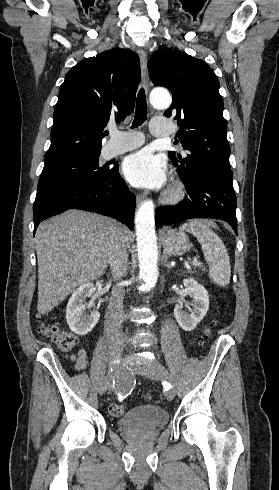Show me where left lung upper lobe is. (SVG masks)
Masks as SVG:
<instances>
[{
	"instance_id": "5c2ea615",
	"label": "left lung upper lobe",
	"mask_w": 279,
	"mask_h": 490,
	"mask_svg": "<svg viewBox=\"0 0 279 490\" xmlns=\"http://www.w3.org/2000/svg\"><path fill=\"white\" fill-rule=\"evenodd\" d=\"M148 68L154 85L167 87L173 95L164 115L175 114L179 141L188 151L186 157L169 152L180 177L205 169L232 176L227 123L214 71L206 62L169 48L156 51Z\"/></svg>"
}]
</instances>
